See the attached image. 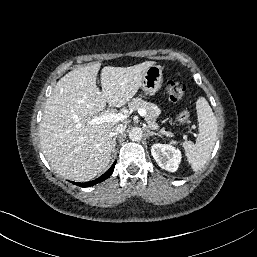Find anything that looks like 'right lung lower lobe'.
Returning <instances> with one entry per match:
<instances>
[{"mask_svg":"<svg viewBox=\"0 0 257 257\" xmlns=\"http://www.w3.org/2000/svg\"><path fill=\"white\" fill-rule=\"evenodd\" d=\"M115 164H116V162H114V164L110 167V169L106 173H104L102 176H100L99 178H97L93 181H90L87 183H75V182H73V183L78 186H82V187H89V186L95 185L97 183H100V182L106 180L112 174Z\"/></svg>","mask_w":257,"mask_h":257,"instance_id":"1","label":"right lung lower lobe"}]
</instances>
